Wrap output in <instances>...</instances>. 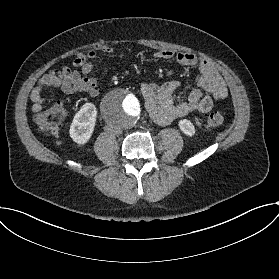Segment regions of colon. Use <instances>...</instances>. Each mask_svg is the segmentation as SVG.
I'll return each instance as SVG.
<instances>
[{
	"label": "colon",
	"mask_w": 279,
	"mask_h": 279,
	"mask_svg": "<svg viewBox=\"0 0 279 279\" xmlns=\"http://www.w3.org/2000/svg\"><path fill=\"white\" fill-rule=\"evenodd\" d=\"M65 114V111L57 107L51 106L40 110L35 114V121L38 129L47 135L57 136L59 125ZM223 121L221 111H216L209 114L204 122L206 130L216 129Z\"/></svg>",
	"instance_id": "5ec220e1"
}]
</instances>
